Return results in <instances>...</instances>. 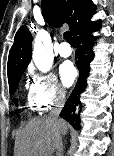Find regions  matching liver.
I'll return each instance as SVG.
<instances>
[{"label": "liver", "mask_w": 114, "mask_h": 156, "mask_svg": "<svg viewBox=\"0 0 114 156\" xmlns=\"http://www.w3.org/2000/svg\"><path fill=\"white\" fill-rule=\"evenodd\" d=\"M68 128L69 124L62 119H31L16 136L14 156H51L56 150L61 151L62 135Z\"/></svg>", "instance_id": "obj_1"}]
</instances>
